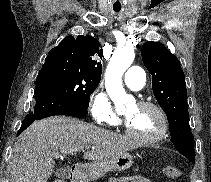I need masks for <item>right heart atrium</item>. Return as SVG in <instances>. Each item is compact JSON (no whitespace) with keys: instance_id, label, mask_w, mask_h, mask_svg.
Instances as JSON below:
<instances>
[{"instance_id":"obj_1","label":"right heart atrium","mask_w":211,"mask_h":182,"mask_svg":"<svg viewBox=\"0 0 211 182\" xmlns=\"http://www.w3.org/2000/svg\"><path fill=\"white\" fill-rule=\"evenodd\" d=\"M89 111L97 124L115 126L120 122L108 96L100 88L94 90L90 95Z\"/></svg>"}]
</instances>
